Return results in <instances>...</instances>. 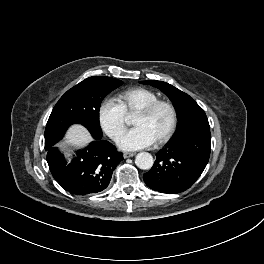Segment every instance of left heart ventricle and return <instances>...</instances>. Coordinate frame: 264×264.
Here are the masks:
<instances>
[{"instance_id":"obj_1","label":"left heart ventricle","mask_w":264,"mask_h":264,"mask_svg":"<svg viewBox=\"0 0 264 264\" xmlns=\"http://www.w3.org/2000/svg\"><path fill=\"white\" fill-rule=\"evenodd\" d=\"M170 114L166 107H159L151 116L136 115L133 120L135 127L145 128L155 140L160 138L168 129Z\"/></svg>"}]
</instances>
